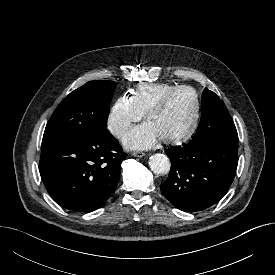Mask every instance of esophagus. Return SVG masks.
<instances>
[{
	"mask_svg": "<svg viewBox=\"0 0 275 275\" xmlns=\"http://www.w3.org/2000/svg\"><path fill=\"white\" fill-rule=\"evenodd\" d=\"M132 155L135 156V157L141 158V157H144L146 154L144 152H141V151H136V152H133Z\"/></svg>",
	"mask_w": 275,
	"mask_h": 275,
	"instance_id": "1",
	"label": "esophagus"
}]
</instances>
